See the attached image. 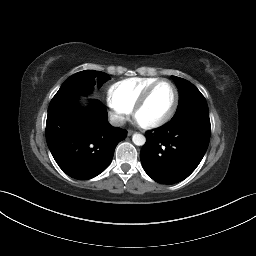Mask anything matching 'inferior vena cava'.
Instances as JSON below:
<instances>
[{
    "label": "inferior vena cava",
    "instance_id": "inferior-vena-cava-1",
    "mask_svg": "<svg viewBox=\"0 0 256 256\" xmlns=\"http://www.w3.org/2000/svg\"><path fill=\"white\" fill-rule=\"evenodd\" d=\"M110 124L115 127H120L125 124V119L122 116L112 115L110 117Z\"/></svg>",
    "mask_w": 256,
    "mask_h": 256
}]
</instances>
